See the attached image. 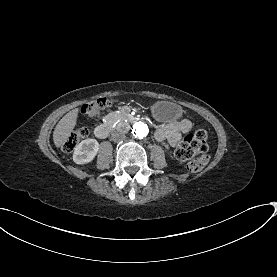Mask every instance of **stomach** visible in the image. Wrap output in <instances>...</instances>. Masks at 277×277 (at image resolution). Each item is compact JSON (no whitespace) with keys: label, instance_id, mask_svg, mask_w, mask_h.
Wrapping results in <instances>:
<instances>
[{"label":"stomach","instance_id":"0dacf381","mask_svg":"<svg viewBox=\"0 0 277 277\" xmlns=\"http://www.w3.org/2000/svg\"><path fill=\"white\" fill-rule=\"evenodd\" d=\"M152 114L162 122H172L180 118L182 109L180 106L170 102H156L153 104Z\"/></svg>","mask_w":277,"mask_h":277}]
</instances>
